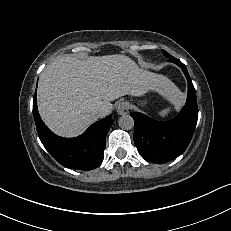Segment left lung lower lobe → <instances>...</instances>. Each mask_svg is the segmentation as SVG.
I'll list each match as a JSON object with an SVG mask.
<instances>
[{"mask_svg": "<svg viewBox=\"0 0 231 231\" xmlns=\"http://www.w3.org/2000/svg\"><path fill=\"white\" fill-rule=\"evenodd\" d=\"M177 64L188 81L187 102L182 111L167 122L155 121L139 112H132L135 122L134 142L143 158L149 162L163 164L183 153L188 147L198 118L196 93L186 66L178 59Z\"/></svg>", "mask_w": 231, "mask_h": 231, "instance_id": "left-lung-lower-lobe-1", "label": "left lung lower lobe"}]
</instances>
